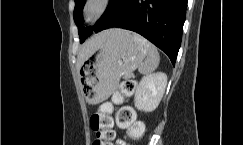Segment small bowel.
Listing matches in <instances>:
<instances>
[{
    "label": "small bowel",
    "instance_id": "c3829d8e",
    "mask_svg": "<svg viewBox=\"0 0 243 145\" xmlns=\"http://www.w3.org/2000/svg\"><path fill=\"white\" fill-rule=\"evenodd\" d=\"M118 145H126L123 141L119 140Z\"/></svg>",
    "mask_w": 243,
    "mask_h": 145
}]
</instances>
